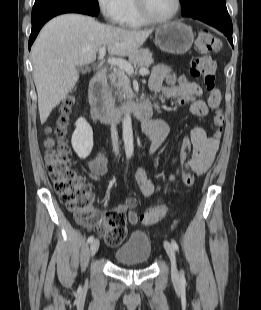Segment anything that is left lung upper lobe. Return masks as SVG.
I'll return each instance as SVG.
<instances>
[{"instance_id":"5c2ea615","label":"left lung upper lobe","mask_w":261,"mask_h":310,"mask_svg":"<svg viewBox=\"0 0 261 310\" xmlns=\"http://www.w3.org/2000/svg\"><path fill=\"white\" fill-rule=\"evenodd\" d=\"M182 14L185 17H195L210 13L219 7H226V0H180Z\"/></svg>"}]
</instances>
